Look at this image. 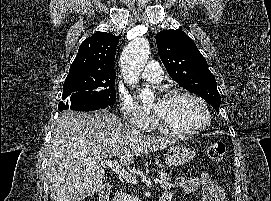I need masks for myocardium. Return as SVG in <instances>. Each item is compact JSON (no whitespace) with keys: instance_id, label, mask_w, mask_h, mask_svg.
Returning <instances> with one entry per match:
<instances>
[{"instance_id":"1","label":"myocardium","mask_w":271,"mask_h":201,"mask_svg":"<svg viewBox=\"0 0 271 201\" xmlns=\"http://www.w3.org/2000/svg\"><path fill=\"white\" fill-rule=\"evenodd\" d=\"M178 96L188 97L198 102L205 111L206 122L202 126L196 129L189 130V131H181V130H177L171 127L166 122H164V120L161 119L157 114H155L154 117H155L156 124L163 133L167 135H171V136H176V137H189V136L201 133L204 130H206L208 127H210L213 121L212 113L206 101L199 95L187 90H183V89H171V90H168L163 95L162 99H171Z\"/></svg>"}]
</instances>
